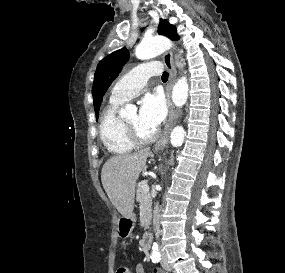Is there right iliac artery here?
<instances>
[{
  "instance_id": "1",
  "label": "right iliac artery",
  "mask_w": 285,
  "mask_h": 273,
  "mask_svg": "<svg viewBox=\"0 0 285 273\" xmlns=\"http://www.w3.org/2000/svg\"><path fill=\"white\" fill-rule=\"evenodd\" d=\"M151 260L153 263H158L161 260V255L160 254L152 255Z\"/></svg>"
}]
</instances>
